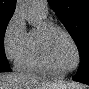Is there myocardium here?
I'll list each match as a JSON object with an SVG mask.
<instances>
[{
  "label": "myocardium",
  "instance_id": "obj_1",
  "mask_svg": "<svg viewBox=\"0 0 89 89\" xmlns=\"http://www.w3.org/2000/svg\"><path fill=\"white\" fill-rule=\"evenodd\" d=\"M58 31L66 35V37L69 39V41L73 45L76 52V64L72 69H69V70H60L55 64L54 58L52 56L51 39L53 35ZM40 40H41V45H42V49L46 57V60L53 70L59 72L60 74L64 76L70 72H73L79 67L81 57H80V51H79L78 45L76 41L74 40L73 36L70 34V32L66 28L54 23L46 22L40 27Z\"/></svg>",
  "mask_w": 89,
  "mask_h": 89
}]
</instances>
